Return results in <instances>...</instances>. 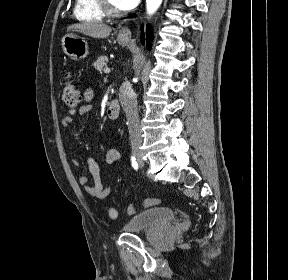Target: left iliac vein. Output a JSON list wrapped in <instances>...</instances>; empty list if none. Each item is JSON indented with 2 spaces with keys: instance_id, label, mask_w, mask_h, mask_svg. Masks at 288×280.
I'll return each instance as SVG.
<instances>
[{
  "instance_id": "obj_1",
  "label": "left iliac vein",
  "mask_w": 288,
  "mask_h": 280,
  "mask_svg": "<svg viewBox=\"0 0 288 280\" xmlns=\"http://www.w3.org/2000/svg\"><path fill=\"white\" fill-rule=\"evenodd\" d=\"M138 163H139L140 168H142L144 166V162L142 161L141 158L138 160Z\"/></svg>"
}]
</instances>
